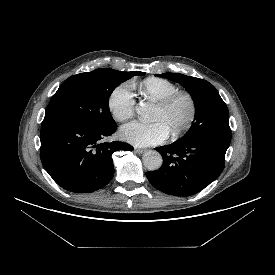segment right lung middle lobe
<instances>
[{
	"mask_svg": "<svg viewBox=\"0 0 275 275\" xmlns=\"http://www.w3.org/2000/svg\"><path fill=\"white\" fill-rule=\"evenodd\" d=\"M144 72H120L100 68L73 75L53 95L44 121L68 119L97 126H113L109 97L122 82Z\"/></svg>",
	"mask_w": 275,
	"mask_h": 275,
	"instance_id": "1",
	"label": "right lung middle lobe"
}]
</instances>
